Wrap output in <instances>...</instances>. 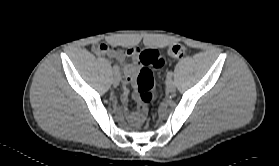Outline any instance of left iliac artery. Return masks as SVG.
<instances>
[{"label":"left iliac artery","instance_id":"left-iliac-artery-1","mask_svg":"<svg viewBox=\"0 0 279 166\" xmlns=\"http://www.w3.org/2000/svg\"><path fill=\"white\" fill-rule=\"evenodd\" d=\"M172 76H173V72H172V71H170V72L167 73V78H168V79H170Z\"/></svg>","mask_w":279,"mask_h":166}]
</instances>
